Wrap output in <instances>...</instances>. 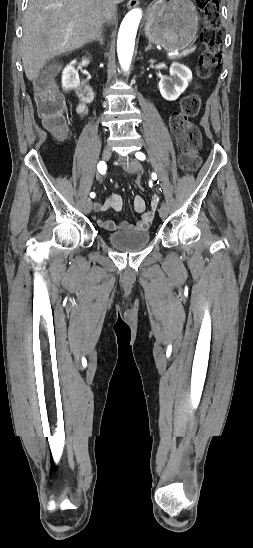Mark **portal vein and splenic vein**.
Here are the masks:
<instances>
[{
    "instance_id": "obj_1",
    "label": "portal vein and splenic vein",
    "mask_w": 253,
    "mask_h": 548,
    "mask_svg": "<svg viewBox=\"0 0 253 548\" xmlns=\"http://www.w3.org/2000/svg\"><path fill=\"white\" fill-rule=\"evenodd\" d=\"M178 55V52H174V53H169V56L172 58V57H175Z\"/></svg>"
}]
</instances>
